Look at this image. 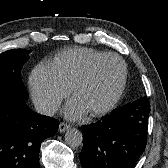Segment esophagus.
I'll return each mask as SVG.
<instances>
[{"instance_id":"34e87169","label":"esophagus","mask_w":168,"mask_h":168,"mask_svg":"<svg viewBox=\"0 0 168 168\" xmlns=\"http://www.w3.org/2000/svg\"><path fill=\"white\" fill-rule=\"evenodd\" d=\"M70 127L71 126L69 124L62 122L59 124V131H60V133H63L65 131H67L68 129H70Z\"/></svg>"}]
</instances>
